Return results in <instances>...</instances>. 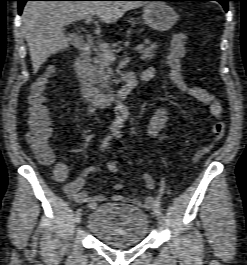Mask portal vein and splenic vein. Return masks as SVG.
I'll use <instances>...</instances> for the list:
<instances>
[{"instance_id": "obj_1", "label": "portal vein and splenic vein", "mask_w": 247, "mask_h": 265, "mask_svg": "<svg viewBox=\"0 0 247 265\" xmlns=\"http://www.w3.org/2000/svg\"><path fill=\"white\" fill-rule=\"evenodd\" d=\"M91 21H92L91 17H87L85 19L86 24H90ZM97 44H98V48L100 49V51L103 52L108 59H110V60L116 59L115 54L110 49H108L107 46H105L104 44L99 43V42ZM143 48H144V45L140 44L135 48V50L141 51Z\"/></svg>"}]
</instances>
